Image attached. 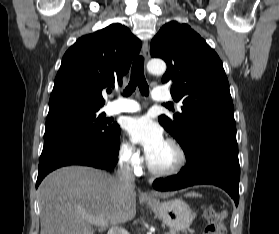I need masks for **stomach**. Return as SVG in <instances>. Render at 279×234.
<instances>
[{"label": "stomach", "instance_id": "stomach-1", "mask_svg": "<svg viewBox=\"0 0 279 234\" xmlns=\"http://www.w3.org/2000/svg\"><path fill=\"white\" fill-rule=\"evenodd\" d=\"M147 204L155 215L174 232L187 229L194 219V213L181 199L165 202L153 199L147 201Z\"/></svg>", "mask_w": 279, "mask_h": 234}]
</instances>
